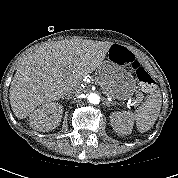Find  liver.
I'll use <instances>...</instances> for the list:
<instances>
[{
	"instance_id": "1",
	"label": "liver",
	"mask_w": 178,
	"mask_h": 178,
	"mask_svg": "<svg viewBox=\"0 0 178 178\" xmlns=\"http://www.w3.org/2000/svg\"><path fill=\"white\" fill-rule=\"evenodd\" d=\"M113 43L83 39L51 41L28 55L17 68L9 90L19 119L44 103L68 96L88 74L100 67Z\"/></svg>"
}]
</instances>
